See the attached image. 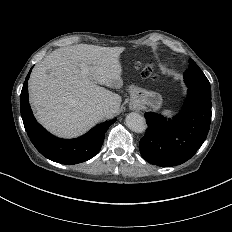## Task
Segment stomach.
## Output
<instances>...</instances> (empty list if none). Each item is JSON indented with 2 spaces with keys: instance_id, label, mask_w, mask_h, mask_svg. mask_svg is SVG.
<instances>
[{
  "instance_id": "stomach-1",
  "label": "stomach",
  "mask_w": 232,
  "mask_h": 232,
  "mask_svg": "<svg viewBox=\"0 0 232 232\" xmlns=\"http://www.w3.org/2000/svg\"><path fill=\"white\" fill-rule=\"evenodd\" d=\"M129 92L131 95V107L135 104H140L141 107L150 106L154 110H157L162 104V96L157 92L147 91L134 85L129 87Z\"/></svg>"
}]
</instances>
